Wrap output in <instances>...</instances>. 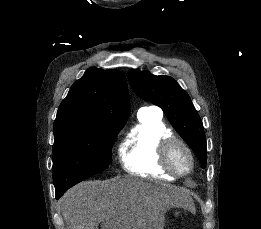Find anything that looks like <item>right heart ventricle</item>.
<instances>
[{"label":"right heart ventricle","instance_id":"obj_1","mask_svg":"<svg viewBox=\"0 0 261 229\" xmlns=\"http://www.w3.org/2000/svg\"><path fill=\"white\" fill-rule=\"evenodd\" d=\"M138 120L137 128L120 147L123 168L133 175L166 174L173 177L161 162L162 143L174 137L163 120L162 111L156 106H142L138 110Z\"/></svg>","mask_w":261,"mask_h":229}]
</instances>
